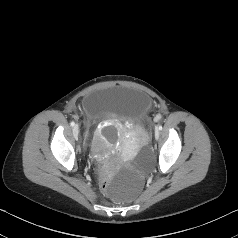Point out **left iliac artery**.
I'll return each mask as SVG.
<instances>
[{
  "instance_id": "obj_1",
  "label": "left iliac artery",
  "mask_w": 238,
  "mask_h": 238,
  "mask_svg": "<svg viewBox=\"0 0 238 238\" xmlns=\"http://www.w3.org/2000/svg\"><path fill=\"white\" fill-rule=\"evenodd\" d=\"M157 128H158L159 130H162V126H161V125H159Z\"/></svg>"
}]
</instances>
